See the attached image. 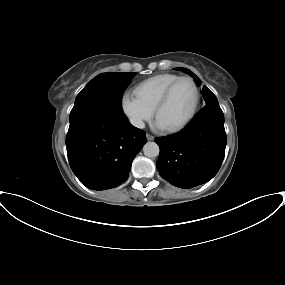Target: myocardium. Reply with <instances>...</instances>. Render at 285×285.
Returning <instances> with one entry per match:
<instances>
[{"instance_id":"myocardium-1","label":"myocardium","mask_w":285,"mask_h":285,"mask_svg":"<svg viewBox=\"0 0 285 285\" xmlns=\"http://www.w3.org/2000/svg\"><path fill=\"white\" fill-rule=\"evenodd\" d=\"M183 80H187L189 81L193 88H194V92H195V100H194V104L192 107L191 112L189 113V115L179 124L170 127V128H166V130L170 133H175L178 132L182 129H184L195 117L198 108H199V104H200V90L199 87L197 85V83L195 82V80L189 76H180L179 78H177L176 80H174L163 92V94L161 95V97L159 98V100L157 101L155 107H154V115L157 118V115L159 113V111L162 109V107L168 102L174 88L177 86V84Z\"/></svg>"}]
</instances>
